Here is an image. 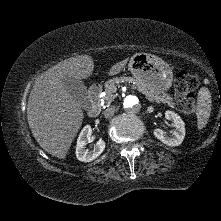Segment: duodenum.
Segmentation results:
<instances>
[{
	"label": "duodenum",
	"instance_id": "410a0bca",
	"mask_svg": "<svg viewBox=\"0 0 221 221\" xmlns=\"http://www.w3.org/2000/svg\"><path fill=\"white\" fill-rule=\"evenodd\" d=\"M102 94V86L94 84L89 90L90 107L88 114L91 117H97L100 113V101Z\"/></svg>",
	"mask_w": 221,
	"mask_h": 221
}]
</instances>
